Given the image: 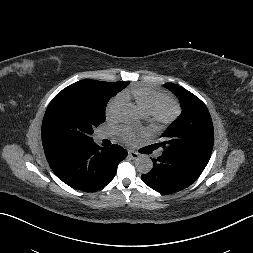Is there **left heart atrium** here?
Returning <instances> with one entry per match:
<instances>
[{
	"label": "left heart atrium",
	"mask_w": 253,
	"mask_h": 253,
	"mask_svg": "<svg viewBox=\"0 0 253 253\" xmlns=\"http://www.w3.org/2000/svg\"><path fill=\"white\" fill-rule=\"evenodd\" d=\"M121 135L125 140H132L135 137V134L128 129L123 130Z\"/></svg>",
	"instance_id": "39dd6f15"
}]
</instances>
